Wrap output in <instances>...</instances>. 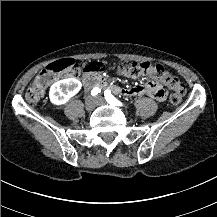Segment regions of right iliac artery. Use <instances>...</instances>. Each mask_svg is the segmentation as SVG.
<instances>
[{
  "label": "right iliac artery",
  "instance_id": "right-iliac-artery-1",
  "mask_svg": "<svg viewBox=\"0 0 217 217\" xmlns=\"http://www.w3.org/2000/svg\"><path fill=\"white\" fill-rule=\"evenodd\" d=\"M98 93H100V89L97 87L93 88V90L91 91L92 96H96Z\"/></svg>",
  "mask_w": 217,
  "mask_h": 217
}]
</instances>
